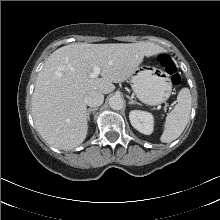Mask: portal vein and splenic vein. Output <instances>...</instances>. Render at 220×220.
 <instances>
[{
  "instance_id": "obj_1",
  "label": "portal vein and splenic vein",
  "mask_w": 220,
  "mask_h": 220,
  "mask_svg": "<svg viewBox=\"0 0 220 220\" xmlns=\"http://www.w3.org/2000/svg\"><path fill=\"white\" fill-rule=\"evenodd\" d=\"M101 73V69L99 66L95 65L93 67V71L89 74L91 78H97Z\"/></svg>"
}]
</instances>
